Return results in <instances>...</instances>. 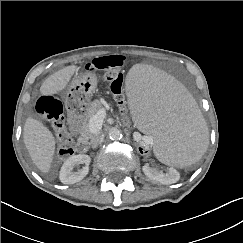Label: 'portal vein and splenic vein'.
<instances>
[{
	"instance_id": "1",
	"label": "portal vein and splenic vein",
	"mask_w": 243,
	"mask_h": 243,
	"mask_svg": "<svg viewBox=\"0 0 243 243\" xmlns=\"http://www.w3.org/2000/svg\"><path fill=\"white\" fill-rule=\"evenodd\" d=\"M105 116V109H100L94 116L91 117L89 127L93 133H97L101 129Z\"/></svg>"
}]
</instances>
